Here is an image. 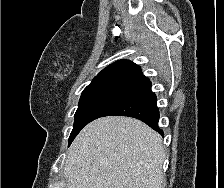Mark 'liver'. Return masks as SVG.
Listing matches in <instances>:
<instances>
[{
	"mask_svg": "<svg viewBox=\"0 0 224 188\" xmlns=\"http://www.w3.org/2000/svg\"><path fill=\"white\" fill-rule=\"evenodd\" d=\"M161 136L130 117H103L86 125L67 154L66 188H161Z\"/></svg>",
	"mask_w": 224,
	"mask_h": 188,
	"instance_id": "liver-1",
	"label": "liver"
}]
</instances>
